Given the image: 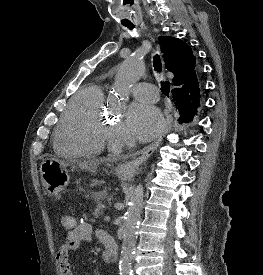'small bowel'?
I'll list each match as a JSON object with an SVG mask.
<instances>
[{"label":"small bowel","instance_id":"obj_1","mask_svg":"<svg viewBox=\"0 0 263 275\" xmlns=\"http://www.w3.org/2000/svg\"><path fill=\"white\" fill-rule=\"evenodd\" d=\"M94 229L88 222H81L72 228L65 237V241L59 248L56 260L61 270V275H73L70 264V253L76 251L82 243H89L92 241ZM105 232L101 230L96 231V235L102 240Z\"/></svg>","mask_w":263,"mask_h":275}]
</instances>
